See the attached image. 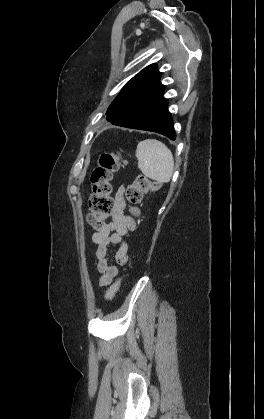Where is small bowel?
Here are the masks:
<instances>
[{"label":"small bowel","mask_w":264,"mask_h":419,"mask_svg":"<svg viewBox=\"0 0 264 419\" xmlns=\"http://www.w3.org/2000/svg\"><path fill=\"white\" fill-rule=\"evenodd\" d=\"M125 187L120 186L115 195V207L110 221L92 235V243L96 246L94 257L98 261L96 270L100 274L99 284L108 286L119 274L117 266L110 264L108 252L111 245H119L115 255L116 263L125 265L129 260L128 244L124 238L135 229V221L125 213Z\"/></svg>","instance_id":"1"}]
</instances>
